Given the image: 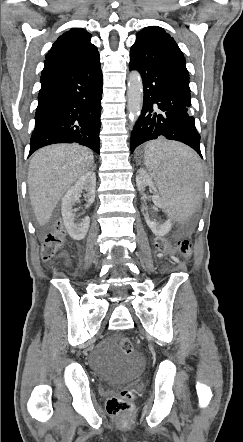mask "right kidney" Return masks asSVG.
Wrapping results in <instances>:
<instances>
[{
    "label": "right kidney",
    "instance_id": "ca27d5eb",
    "mask_svg": "<svg viewBox=\"0 0 243 442\" xmlns=\"http://www.w3.org/2000/svg\"><path fill=\"white\" fill-rule=\"evenodd\" d=\"M96 176L94 172H87L78 179L62 199L61 213L65 228L74 240H82L87 235L90 218L85 216L81 222H75L74 204L79 201L80 193L84 190L87 198L86 207L89 208L95 200Z\"/></svg>",
    "mask_w": 243,
    "mask_h": 442
}]
</instances>
